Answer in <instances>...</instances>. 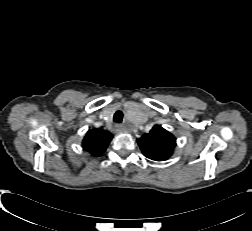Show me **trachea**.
Returning a JSON list of instances; mask_svg holds the SVG:
<instances>
[{"instance_id": "obj_1", "label": "trachea", "mask_w": 252, "mask_h": 231, "mask_svg": "<svg viewBox=\"0 0 252 231\" xmlns=\"http://www.w3.org/2000/svg\"><path fill=\"white\" fill-rule=\"evenodd\" d=\"M123 119V112L122 111H116L113 117V121L116 123H121Z\"/></svg>"}]
</instances>
